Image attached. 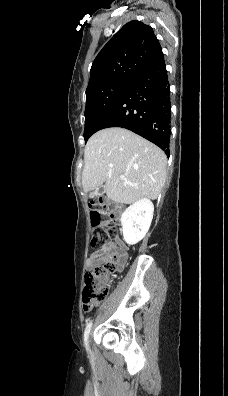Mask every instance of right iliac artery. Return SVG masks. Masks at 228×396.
Returning a JSON list of instances; mask_svg holds the SVG:
<instances>
[{"mask_svg": "<svg viewBox=\"0 0 228 396\" xmlns=\"http://www.w3.org/2000/svg\"><path fill=\"white\" fill-rule=\"evenodd\" d=\"M91 325H92V322H89L87 324L85 332H84V343H85V346H86L87 350H88V337H89V333H90V330H91Z\"/></svg>", "mask_w": 228, "mask_h": 396, "instance_id": "1", "label": "right iliac artery"}]
</instances>
